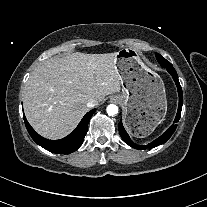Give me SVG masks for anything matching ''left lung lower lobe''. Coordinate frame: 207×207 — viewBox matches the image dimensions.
Masks as SVG:
<instances>
[{
    "label": "left lung lower lobe",
    "mask_w": 207,
    "mask_h": 207,
    "mask_svg": "<svg viewBox=\"0 0 207 207\" xmlns=\"http://www.w3.org/2000/svg\"><path fill=\"white\" fill-rule=\"evenodd\" d=\"M167 69V71L171 74L172 78L174 79L175 81V84L177 86V89H178V95H179V105H178V111H177V114H176V117L174 119V122L173 124L160 136L158 137L157 139H155L153 142H151L150 144L148 145H138L136 143H134L129 135L127 134V132L125 131L124 127H123V124L122 122L120 121L119 122V133L121 135V137L123 138V140L131 147L135 148V149H139V150H144V149H147V148H154V147H157L163 143H165L171 136L172 134L174 133V131L176 130L177 128V123L180 119V116H181V110H182V105H183V94H182V88H181V85L179 83V80H178V75L175 71V69L173 68V66H166L165 67Z\"/></svg>",
    "instance_id": "left-lung-lower-lobe-1"
}]
</instances>
